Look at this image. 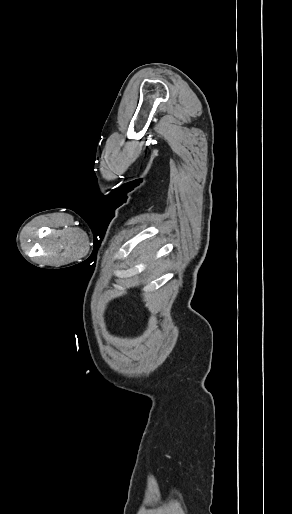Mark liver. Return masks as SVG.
Returning <instances> with one entry per match:
<instances>
[{
  "label": "liver",
  "mask_w": 292,
  "mask_h": 514,
  "mask_svg": "<svg viewBox=\"0 0 292 514\" xmlns=\"http://www.w3.org/2000/svg\"><path fill=\"white\" fill-rule=\"evenodd\" d=\"M141 248H143L141 254H143L142 256V262H144V264H147V262H150L153 254H149V248L148 246H141ZM154 250H157V246H154ZM154 264L155 262H153V264H151V266H148V268H154Z\"/></svg>",
  "instance_id": "liver-1"
}]
</instances>
